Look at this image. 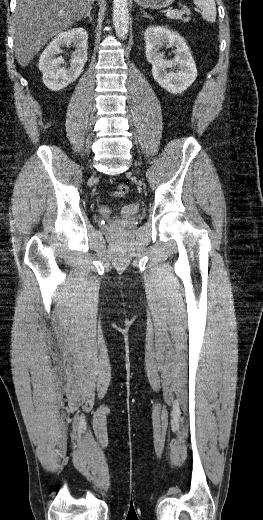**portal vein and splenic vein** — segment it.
Instances as JSON below:
<instances>
[{
	"label": "portal vein and splenic vein",
	"instance_id": "obj_1",
	"mask_svg": "<svg viewBox=\"0 0 263 520\" xmlns=\"http://www.w3.org/2000/svg\"><path fill=\"white\" fill-rule=\"evenodd\" d=\"M173 13V10H167L166 16H170Z\"/></svg>",
	"mask_w": 263,
	"mask_h": 520
}]
</instances>
